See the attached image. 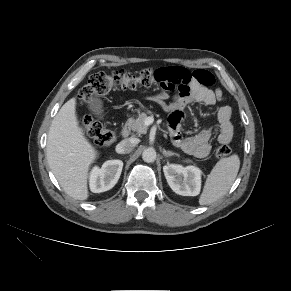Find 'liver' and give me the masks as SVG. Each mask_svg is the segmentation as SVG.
<instances>
[{"instance_id": "liver-1", "label": "liver", "mask_w": 291, "mask_h": 291, "mask_svg": "<svg viewBox=\"0 0 291 291\" xmlns=\"http://www.w3.org/2000/svg\"><path fill=\"white\" fill-rule=\"evenodd\" d=\"M48 164L63 190L72 198L89 197L87 179L98 151L84 136L76 114V98L67 101L54 117L47 139Z\"/></svg>"}]
</instances>
